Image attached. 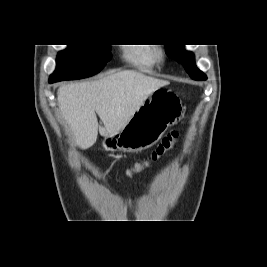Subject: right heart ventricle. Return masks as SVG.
<instances>
[{"label": "right heart ventricle", "instance_id": "e07e8e85", "mask_svg": "<svg viewBox=\"0 0 267 267\" xmlns=\"http://www.w3.org/2000/svg\"><path fill=\"white\" fill-rule=\"evenodd\" d=\"M123 59L138 69H152L157 63L156 50L150 46H126Z\"/></svg>", "mask_w": 267, "mask_h": 267}]
</instances>
